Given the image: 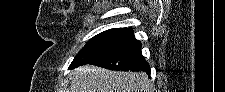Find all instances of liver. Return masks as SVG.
Wrapping results in <instances>:
<instances>
[{"mask_svg": "<svg viewBox=\"0 0 225 92\" xmlns=\"http://www.w3.org/2000/svg\"><path fill=\"white\" fill-rule=\"evenodd\" d=\"M70 92H151L144 72H114L86 65L71 72Z\"/></svg>", "mask_w": 225, "mask_h": 92, "instance_id": "1", "label": "liver"}]
</instances>
